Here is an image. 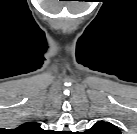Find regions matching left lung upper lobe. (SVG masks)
<instances>
[{"instance_id":"left-lung-upper-lobe-1","label":"left lung upper lobe","mask_w":137,"mask_h":134,"mask_svg":"<svg viewBox=\"0 0 137 134\" xmlns=\"http://www.w3.org/2000/svg\"><path fill=\"white\" fill-rule=\"evenodd\" d=\"M87 134H121L119 129L105 121H98L88 131Z\"/></svg>"}]
</instances>
